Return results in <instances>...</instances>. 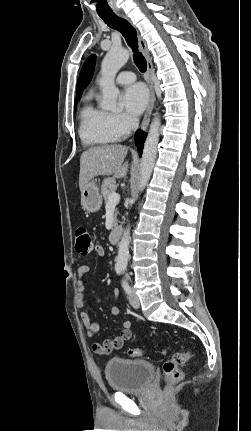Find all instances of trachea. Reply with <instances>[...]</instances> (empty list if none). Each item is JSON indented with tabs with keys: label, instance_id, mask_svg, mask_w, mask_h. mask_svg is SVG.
Here are the masks:
<instances>
[{
	"label": "trachea",
	"instance_id": "trachea-1",
	"mask_svg": "<svg viewBox=\"0 0 251 431\" xmlns=\"http://www.w3.org/2000/svg\"><path fill=\"white\" fill-rule=\"evenodd\" d=\"M100 17L112 29L119 31L127 44L132 48L133 59L138 69L143 73L147 70V62L141 52L138 51V38L136 29L125 19L114 13L102 14Z\"/></svg>",
	"mask_w": 251,
	"mask_h": 431
}]
</instances>
